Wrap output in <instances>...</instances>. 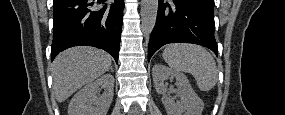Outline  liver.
<instances>
[{
	"mask_svg": "<svg viewBox=\"0 0 285 115\" xmlns=\"http://www.w3.org/2000/svg\"><path fill=\"white\" fill-rule=\"evenodd\" d=\"M110 67V55L100 49L75 47L61 52L52 63L56 100L65 101L82 86L107 72Z\"/></svg>",
	"mask_w": 285,
	"mask_h": 115,
	"instance_id": "1",
	"label": "liver"
}]
</instances>
